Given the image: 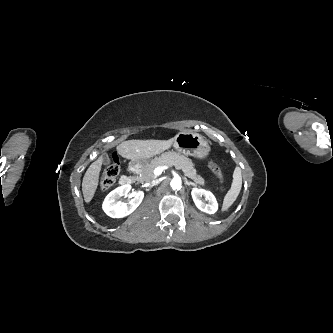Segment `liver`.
<instances>
[{
	"instance_id": "liver-1",
	"label": "liver",
	"mask_w": 333,
	"mask_h": 333,
	"mask_svg": "<svg viewBox=\"0 0 333 333\" xmlns=\"http://www.w3.org/2000/svg\"><path fill=\"white\" fill-rule=\"evenodd\" d=\"M173 145V138L169 140H128L116 147L118 154L129 160H147L158 155ZM103 160L99 157L87 169L83 181L82 192L84 200L89 203L98 187L99 174Z\"/></svg>"
}]
</instances>
